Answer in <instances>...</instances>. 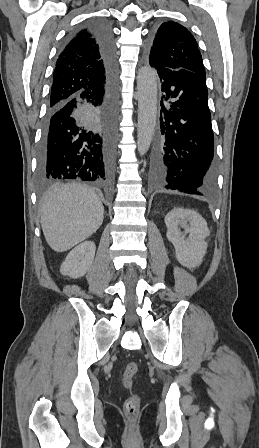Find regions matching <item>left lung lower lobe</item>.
<instances>
[{
  "label": "left lung lower lobe",
  "mask_w": 259,
  "mask_h": 448,
  "mask_svg": "<svg viewBox=\"0 0 259 448\" xmlns=\"http://www.w3.org/2000/svg\"><path fill=\"white\" fill-rule=\"evenodd\" d=\"M162 83L160 139L151 164L156 189L191 195L215 191L217 163L206 77L185 69H157Z\"/></svg>",
  "instance_id": "1"
}]
</instances>
